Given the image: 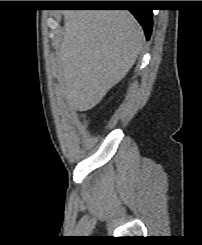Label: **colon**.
<instances>
[{"label": "colon", "instance_id": "colon-1", "mask_svg": "<svg viewBox=\"0 0 202 245\" xmlns=\"http://www.w3.org/2000/svg\"><path fill=\"white\" fill-rule=\"evenodd\" d=\"M83 121L86 123L88 120H87V118L84 117V118H83Z\"/></svg>", "mask_w": 202, "mask_h": 245}]
</instances>
